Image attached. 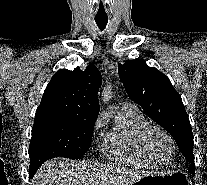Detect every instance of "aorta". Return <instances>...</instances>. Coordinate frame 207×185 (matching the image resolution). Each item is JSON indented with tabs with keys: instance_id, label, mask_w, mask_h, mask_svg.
I'll return each instance as SVG.
<instances>
[{
	"instance_id": "1",
	"label": "aorta",
	"mask_w": 207,
	"mask_h": 185,
	"mask_svg": "<svg viewBox=\"0 0 207 185\" xmlns=\"http://www.w3.org/2000/svg\"><path fill=\"white\" fill-rule=\"evenodd\" d=\"M112 97V87L107 85L104 87L102 93H101V99L103 102H107L111 99Z\"/></svg>"
}]
</instances>
